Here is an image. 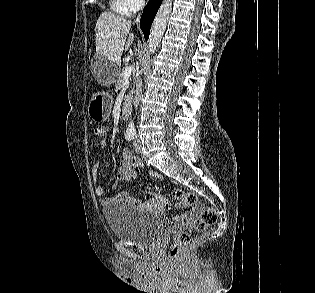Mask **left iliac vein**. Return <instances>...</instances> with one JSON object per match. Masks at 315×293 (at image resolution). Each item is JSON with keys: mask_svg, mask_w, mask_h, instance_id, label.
<instances>
[{"mask_svg": "<svg viewBox=\"0 0 315 293\" xmlns=\"http://www.w3.org/2000/svg\"><path fill=\"white\" fill-rule=\"evenodd\" d=\"M134 149H135V152L137 154L142 153V143H141L140 139H138V138H136L134 141Z\"/></svg>", "mask_w": 315, "mask_h": 293, "instance_id": "left-iliac-vein-1", "label": "left iliac vein"}]
</instances>
